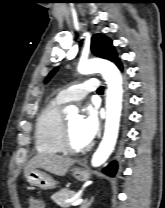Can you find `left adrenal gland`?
<instances>
[{"label": "left adrenal gland", "instance_id": "obj_1", "mask_svg": "<svg viewBox=\"0 0 165 208\" xmlns=\"http://www.w3.org/2000/svg\"><path fill=\"white\" fill-rule=\"evenodd\" d=\"M92 202H93V198H91L90 200L85 199L82 201L80 208H89Z\"/></svg>", "mask_w": 165, "mask_h": 208}]
</instances>
